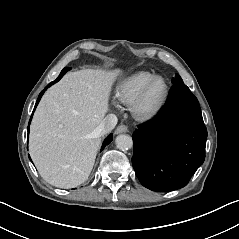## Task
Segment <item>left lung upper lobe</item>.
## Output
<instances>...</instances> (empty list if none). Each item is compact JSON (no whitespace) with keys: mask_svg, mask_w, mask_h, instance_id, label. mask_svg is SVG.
<instances>
[{"mask_svg":"<svg viewBox=\"0 0 239 239\" xmlns=\"http://www.w3.org/2000/svg\"><path fill=\"white\" fill-rule=\"evenodd\" d=\"M172 83L173 85L183 83V80L181 79L180 76L176 75V77L172 79Z\"/></svg>","mask_w":239,"mask_h":239,"instance_id":"1","label":"left lung upper lobe"}]
</instances>
